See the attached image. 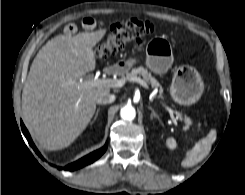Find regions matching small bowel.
Returning a JSON list of instances; mask_svg holds the SVG:
<instances>
[{"label":"small bowel","instance_id":"c3829d8e","mask_svg":"<svg viewBox=\"0 0 245 195\" xmlns=\"http://www.w3.org/2000/svg\"><path fill=\"white\" fill-rule=\"evenodd\" d=\"M82 26L84 29L87 30L94 29L96 27V20L91 17L85 18L82 21ZM76 31H77V27L75 24L70 23L64 27V32L68 35L74 34Z\"/></svg>","mask_w":245,"mask_h":195}]
</instances>
